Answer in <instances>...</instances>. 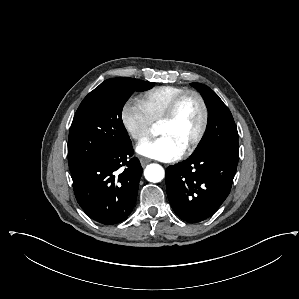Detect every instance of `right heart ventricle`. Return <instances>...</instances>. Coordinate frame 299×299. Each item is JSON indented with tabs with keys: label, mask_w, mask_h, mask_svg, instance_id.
Wrapping results in <instances>:
<instances>
[{
	"label": "right heart ventricle",
	"mask_w": 299,
	"mask_h": 299,
	"mask_svg": "<svg viewBox=\"0 0 299 299\" xmlns=\"http://www.w3.org/2000/svg\"><path fill=\"white\" fill-rule=\"evenodd\" d=\"M187 89L180 86L164 85L146 91L138 98L152 124H158L172 101Z\"/></svg>",
	"instance_id": "right-heart-ventricle-1"
}]
</instances>
